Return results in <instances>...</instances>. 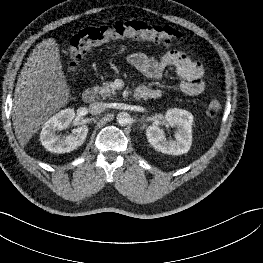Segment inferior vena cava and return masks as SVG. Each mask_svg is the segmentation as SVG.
I'll return each mask as SVG.
<instances>
[{
	"label": "inferior vena cava",
	"instance_id": "obj_1",
	"mask_svg": "<svg viewBox=\"0 0 263 263\" xmlns=\"http://www.w3.org/2000/svg\"><path fill=\"white\" fill-rule=\"evenodd\" d=\"M106 109V104L103 102H93L89 106V110L91 114H100Z\"/></svg>",
	"mask_w": 263,
	"mask_h": 263
}]
</instances>
